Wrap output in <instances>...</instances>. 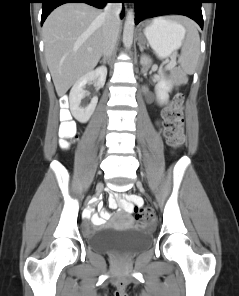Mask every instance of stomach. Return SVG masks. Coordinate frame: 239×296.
<instances>
[{
  "instance_id": "1",
  "label": "stomach",
  "mask_w": 239,
  "mask_h": 296,
  "mask_svg": "<svg viewBox=\"0 0 239 296\" xmlns=\"http://www.w3.org/2000/svg\"><path fill=\"white\" fill-rule=\"evenodd\" d=\"M144 35L155 53L160 58H166L177 50L184 39L183 27L173 21L159 18L152 21L144 29Z\"/></svg>"
}]
</instances>
